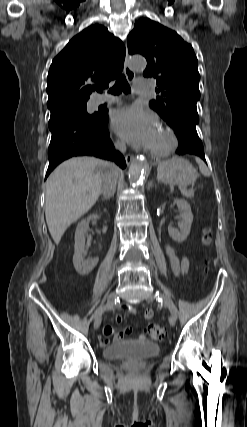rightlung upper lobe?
<instances>
[{"label": "right lung upper lobe", "instance_id": "1", "mask_svg": "<svg viewBox=\"0 0 247 427\" xmlns=\"http://www.w3.org/2000/svg\"><path fill=\"white\" fill-rule=\"evenodd\" d=\"M125 47L104 26L92 25L54 58L47 77L51 114L86 105L94 89L107 88L123 70Z\"/></svg>", "mask_w": 247, "mask_h": 427}]
</instances>
